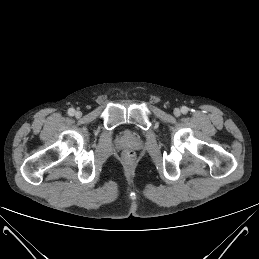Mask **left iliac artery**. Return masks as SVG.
Listing matches in <instances>:
<instances>
[{
    "instance_id": "obj_1",
    "label": "left iliac artery",
    "mask_w": 259,
    "mask_h": 259,
    "mask_svg": "<svg viewBox=\"0 0 259 259\" xmlns=\"http://www.w3.org/2000/svg\"><path fill=\"white\" fill-rule=\"evenodd\" d=\"M181 112H182L183 114H187V113H188V108H187L186 106H183V107L181 108Z\"/></svg>"
}]
</instances>
